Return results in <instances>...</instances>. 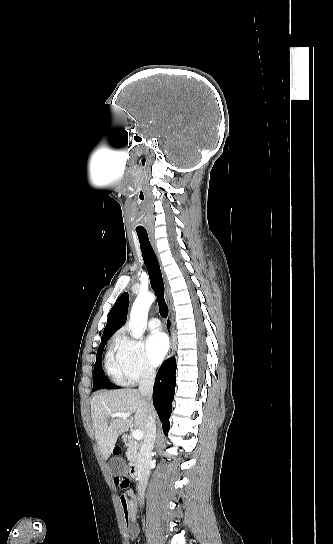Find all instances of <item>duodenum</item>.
Returning <instances> with one entry per match:
<instances>
[{"label": "duodenum", "instance_id": "obj_1", "mask_svg": "<svg viewBox=\"0 0 333 544\" xmlns=\"http://www.w3.org/2000/svg\"><path fill=\"white\" fill-rule=\"evenodd\" d=\"M122 439H123V443L132 452H137L139 450L138 445L133 441V439L129 435L125 434ZM147 471H148L147 463H144L139 460L133 461L129 467V474L136 481H141L145 477Z\"/></svg>", "mask_w": 333, "mask_h": 544}]
</instances>
